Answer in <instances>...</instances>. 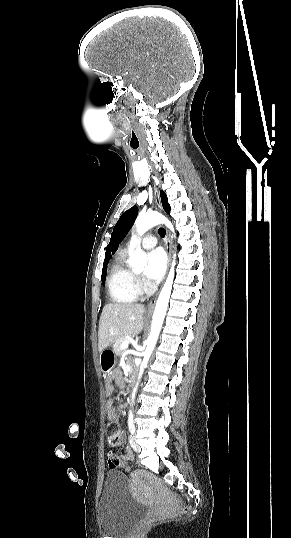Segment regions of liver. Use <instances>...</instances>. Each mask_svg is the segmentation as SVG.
Listing matches in <instances>:
<instances>
[{
    "mask_svg": "<svg viewBox=\"0 0 291 538\" xmlns=\"http://www.w3.org/2000/svg\"><path fill=\"white\" fill-rule=\"evenodd\" d=\"M143 313L144 306L141 304H106L99 321V352L125 335L138 334L143 328Z\"/></svg>",
    "mask_w": 291,
    "mask_h": 538,
    "instance_id": "1",
    "label": "liver"
}]
</instances>
